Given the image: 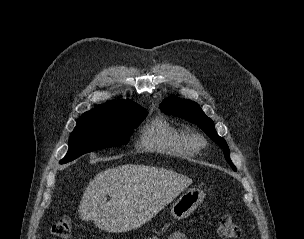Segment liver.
<instances>
[{"label":"liver","mask_w":304,"mask_h":239,"mask_svg":"<svg viewBox=\"0 0 304 239\" xmlns=\"http://www.w3.org/2000/svg\"><path fill=\"white\" fill-rule=\"evenodd\" d=\"M191 183L189 177L165 168L134 164L109 168L89 182L78 212L101 230L130 231L151 220Z\"/></svg>","instance_id":"1"}]
</instances>
